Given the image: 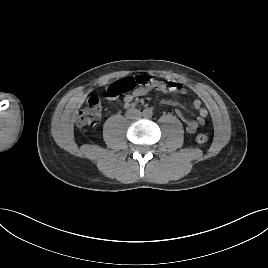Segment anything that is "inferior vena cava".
<instances>
[{
  "label": "inferior vena cava",
  "mask_w": 268,
  "mask_h": 268,
  "mask_svg": "<svg viewBox=\"0 0 268 268\" xmlns=\"http://www.w3.org/2000/svg\"><path fill=\"white\" fill-rule=\"evenodd\" d=\"M133 112H134V116L131 117L129 114H128V116L133 118V119H138L139 117H141V112L140 111L134 110Z\"/></svg>",
  "instance_id": "inferior-vena-cava-1"
}]
</instances>
